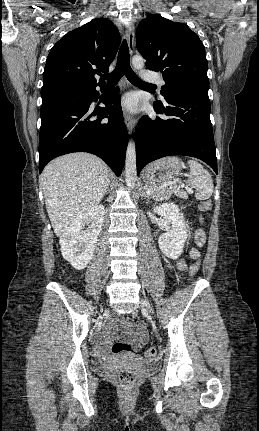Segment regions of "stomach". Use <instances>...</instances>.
I'll list each match as a JSON object with an SVG mask.
<instances>
[{
	"instance_id": "stomach-1",
	"label": "stomach",
	"mask_w": 259,
	"mask_h": 431,
	"mask_svg": "<svg viewBox=\"0 0 259 431\" xmlns=\"http://www.w3.org/2000/svg\"><path fill=\"white\" fill-rule=\"evenodd\" d=\"M184 167V163L178 157H165L146 167L143 179L146 184H162L171 181L178 176Z\"/></svg>"
}]
</instances>
